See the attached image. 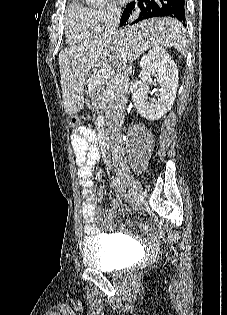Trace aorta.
<instances>
[{"mask_svg":"<svg viewBox=\"0 0 227 315\" xmlns=\"http://www.w3.org/2000/svg\"><path fill=\"white\" fill-rule=\"evenodd\" d=\"M105 1L106 0H86V2L91 5H101L105 3Z\"/></svg>","mask_w":227,"mask_h":315,"instance_id":"762f6f07","label":"aorta"}]
</instances>
